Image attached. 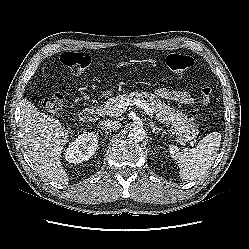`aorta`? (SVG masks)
Wrapping results in <instances>:
<instances>
[{
    "label": "aorta",
    "instance_id": "obj_1",
    "mask_svg": "<svg viewBox=\"0 0 249 249\" xmlns=\"http://www.w3.org/2000/svg\"><path fill=\"white\" fill-rule=\"evenodd\" d=\"M128 137L134 142L143 141L145 138V130L142 127L135 126L129 130Z\"/></svg>",
    "mask_w": 249,
    "mask_h": 249
}]
</instances>
